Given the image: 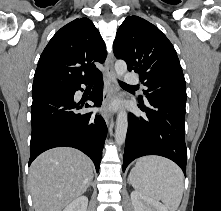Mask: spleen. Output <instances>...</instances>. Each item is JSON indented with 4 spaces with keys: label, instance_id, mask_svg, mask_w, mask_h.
<instances>
[{
    "label": "spleen",
    "instance_id": "obj_1",
    "mask_svg": "<svg viewBox=\"0 0 221 211\" xmlns=\"http://www.w3.org/2000/svg\"><path fill=\"white\" fill-rule=\"evenodd\" d=\"M128 180L136 191L161 200L169 211H176L179 207L184 190V175L172 161L159 156L139 158Z\"/></svg>",
    "mask_w": 221,
    "mask_h": 211
}]
</instances>
